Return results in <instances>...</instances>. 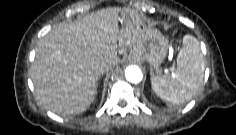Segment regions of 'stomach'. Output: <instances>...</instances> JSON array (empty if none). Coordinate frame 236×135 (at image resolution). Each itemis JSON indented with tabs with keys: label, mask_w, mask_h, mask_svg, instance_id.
Here are the masks:
<instances>
[{
	"label": "stomach",
	"mask_w": 236,
	"mask_h": 135,
	"mask_svg": "<svg viewBox=\"0 0 236 135\" xmlns=\"http://www.w3.org/2000/svg\"><path fill=\"white\" fill-rule=\"evenodd\" d=\"M124 23L132 22L131 12L121 14ZM169 50L168 40L156 29L146 28L141 37V45L137 50H132L129 58L147 62L150 66L151 77L160 73L162 62L165 60Z\"/></svg>",
	"instance_id": "stomach-1"
}]
</instances>
